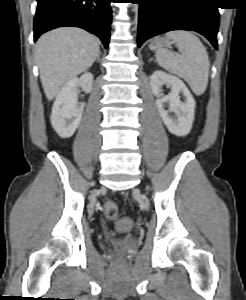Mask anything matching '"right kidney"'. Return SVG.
<instances>
[{
	"label": "right kidney",
	"mask_w": 246,
	"mask_h": 300,
	"mask_svg": "<svg viewBox=\"0 0 246 300\" xmlns=\"http://www.w3.org/2000/svg\"><path fill=\"white\" fill-rule=\"evenodd\" d=\"M93 85V75L89 72L80 78L73 77L59 91L52 107L51 125L61 138L71 137L78 128L85 104L78 106V88L90 93Z\"/></svg>",
	"instance_id": "right-kidney-1"
}]
</instances>
